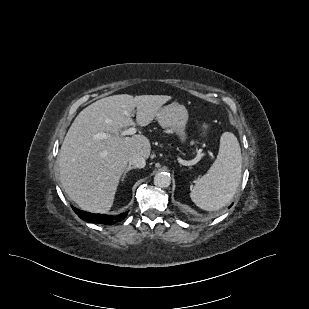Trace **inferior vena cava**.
<instances>
[{
  "mask_svg": "<svg viewBox=\"0 0 309 309\" xmlns=\"http://www.w3.org/2000/svg\"><path fill=\"white\" fill-rule=\"evenodd\" d=\"M129 164L137 168H143L146 165V160L139 154H134L129 158Z\"/></svg>",
  "mask_w": 309,
  "mask_h": 309,
  "instance_id": "inferior-vena-cava-1",
  "label": "inferior vena cava"
}]
</instances>
